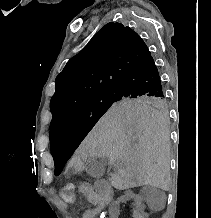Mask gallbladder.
Wrapping results in <instances>:
<instances>
[{
	"instance_id": "obj_1",
	"label": "gallbladder",
	"mask_w": 211,
	"mask_h": 218,
	"mask_svg": "<svg viewBox=\"0 0 211 218\" xmlns=\"http://www.w3.org/2000/svg\"><path fill=\"white\" fill-rule=\"evenodd\" d=\"M108 162V158H101V160H97V158H92L90 162H88L86 166V172L92 178H101L103 174H105V166Z\"/></svg>"
}]
</instances>
